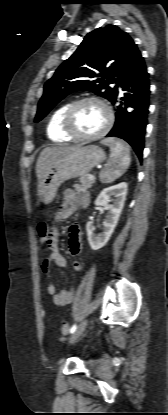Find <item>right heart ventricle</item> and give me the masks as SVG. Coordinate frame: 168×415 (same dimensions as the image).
I'll use <instances>...</instances> for the list:
<instances>
[{"label":"right heart ventricle","instance_id":"1","mask_svg":"<svg viewBox=\"0 0 168 415\" xmlns=\"http://www.w3.org/2000/svg\"><path fill=\"white\" fill-rule=\"evenodd\" d=\"M71 103L67 102L57 107L51 114L47 124V136L55 143H66L72 140L62 127V120L66 109Z\"/></svg>","mask_w":168,"mask_h":415}]
</instances>
